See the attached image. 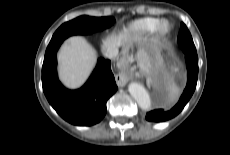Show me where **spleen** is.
I'll list each match as a JSON object with an SVG mask.
<instances>
[{
	"label": "spleen",
	"instance_id": "obj_1",
	"mask_svg": "<svg viewBox=\"0 0 230 155\" xmlns=\"http://www.w3.org/2000/svg\"><path fill=\"white\" fill-rule=\"evenodd\" d=\"M169 92H170V95L173 97V98H177L180 94V89L175 85V84H171L168 88Z\"/></svg>",
	"mask_w": 230,
	"mask_h": 155
}]
</instances>
